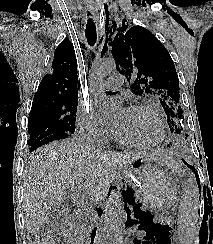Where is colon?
<instances>
[{
    "label": "colon",
    "instance_id": "colon-1",
    "mask_svg": "<svg viewBox=\"0 0 213 244\" xmlns=\"http://www.w3.org/2000/svg\"><path fill=\"white\" fill-rule=\"evenodd\" d=\"M38 244H54V237L50 233L42 235L38 241ZM136 244H145L144 242L138 241Z\"/></svg>",
    "mask_w": 213,
    "mask_h": 244
}]
</instances>
